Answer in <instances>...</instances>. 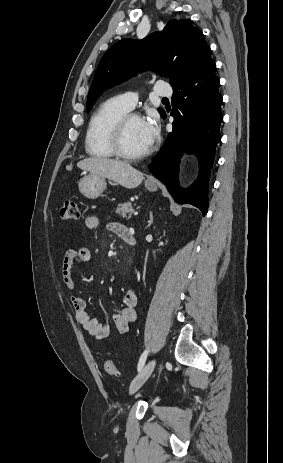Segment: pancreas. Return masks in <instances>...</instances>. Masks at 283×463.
<instances>
[{"label":"pancreas","instance_id":"1","mask_svg":"<svg viewBox=\"0 0 283 463\" xmlns=\"http://www.w3.org/2000/svg\"><path fill=\"white\" fill-rule=\"evenodd\" d=\"M133 212V207L130 202H124L122 204H119L118 207L116 208V213L123 218H130L131 215L130 213ZM129 214V215H127Z\"/></svg>","mask_w":283,"mask_h":463}]
</instances>
